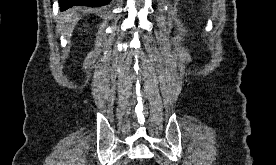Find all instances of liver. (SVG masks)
Returning <instances> with one entry per match:
<instances>
[{
  "instance_id": "liver-1",
  "label": "liver",
  "mask_w": 276,
  "mask_h": 165,
  "mask_svg": "<svg viewBox=\"0 0 276 165\" xmlns=\"http://www.w3.org/2000/svg\"><path fill=\"white\" fill-rule=\"evenodd\" d=\"M76 18V14L74 11H72V13L70 15L67 16V19H71V18Z\"/></svg>"
}]
</instances>
